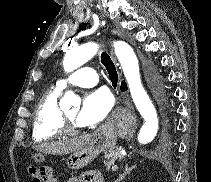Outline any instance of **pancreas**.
<instances>
[{
  "instance_id": "obj_1",
  "label": "pancreas",
  "mask_w": 211,
  "mask_h": 182,
  "mask_svg": "<svg viewBox=\"0 0 211 182\" xmlns=\"http://www.w3.org/2000/svg\"><path fill=\"white\" fill-rule=\"evenodd\" d=\"M104 165H106L108 168L115 163L116 160H121L122 155H121V148L120 147H115L113 149H109L105 151L104 153Z\"/></svg>"
}]
</instances>
